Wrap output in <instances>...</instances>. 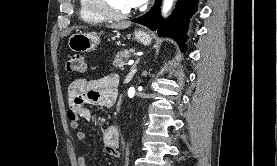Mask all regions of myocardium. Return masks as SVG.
<instances>
[{
  "instance_id": "obj_1",
  "label": "myocardium",
  "mask_w": 277,
  "mask_h": 166,
  "mask_svg": "<svg viewBox=\"0 0 277 166\" xmlns=\"http://www.w3.org/2000/svg\"><path fill=\"white\" fill-rule=\"evenodd\" d=\"M84 4L91 13L104 20L119 21L129 18L133 14L132 9L124 13L111 12L99 0H84Z\"/></svg>"
}]
</instances>
